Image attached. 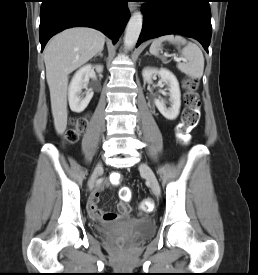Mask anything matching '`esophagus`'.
<instances>
[{"label": "esophagus", "mask_w": 258, "mask_h": 275, "mask_svg": "<svg viewBox=\"0 0 258 275\" xmlns=\"http://www.w3.org/2000/svg\"><path fill=\"white\" fill-rule=\"evenodd\" d=\"M128 8L131 12H133L137 8V5L133 2H129L128 3Z\"/></svg>", "instance_id": "obj_1"}]
</instances>
